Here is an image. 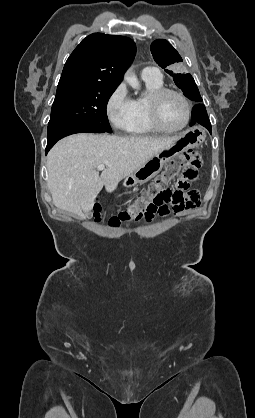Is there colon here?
<instances>
[{
  "instance_id": "5ec220e1",
  "label": "colon",
  "mask_w": 255,
  "mask_h": 418,
  "mask_svg": "<svg viewBox=\"0 0 255 418\" xmlns=\"http://www.w3.org/2000/svg\"><path fill=\"white\" fill-rule=\"evenodd\" d=\"M202 153L200 150L187 152L181 159L172 161L164 173L144 191L142 196L125 211L110 218L109 226L118 228L123 224L138 222L141 219L151 221L156 216L168 214L169 207L174 212L191 209L199 205L197 190L190 189V183L200 174ZM177 177L175 190L165 187L168 180ZM101 207L95 206L94 217L100 221Z\"/></svg>"
}]
</instances>
